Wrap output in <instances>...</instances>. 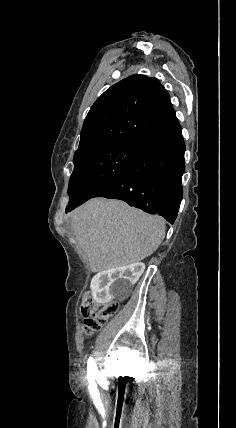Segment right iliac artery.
Wrapping results in <instances>:
<instances>
[{
    "instance_id": "82829eb1",
    "label": "right iliac artery",
    "mask_w": 236,
    "mask_h": 428,
    "mask_svg": "<svg viewBox=\"0 0 236 428\" xmlns=\"http://www.w3.org/2000/svg\"><path fill=\"white\" fill-rule=\"evenodd\" d=\"M98 372L95 360L92 357H89L87 362V374H97Z\"/></svg>"
}]
</instances>
